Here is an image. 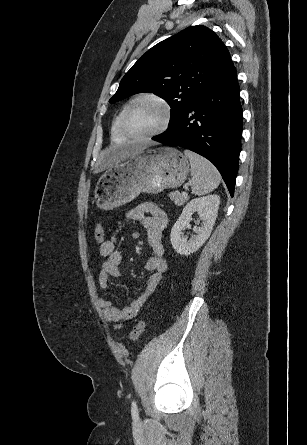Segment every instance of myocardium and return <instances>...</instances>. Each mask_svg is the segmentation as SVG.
I'll list each match as a JSON object with an SVG mask.
<instances>
[{
    "label": "myocardium",
    "instance_id": "myocardium-1",
    "mask_svg": "<svg viewBox=\"0 0 307 445\" xmlns=\"http://www.w3.org/2000/svg\"><path fill=\"white\" fill-rule=\"evenodd\" d=\"M146 100L156 102L163 108L164 119H163L161 125L158 128H156L155 130H152L149 132H144V133H137V132L133 131V129L130 126L129 111H130V108L134 104L141 102V101H146ZM173 116H174V112H173L172 106L166 99H164L163 97H161L157 94H153V93L141 94V95L137 96L136 98H134L133 100H131L127 104V106L124 110V114H123V120H122L123 128H124V131L128 137L136 138V139L137 138H152V137H156V136L163 134L170 127L172 120H173Z\"/></svg>",
    "mask_w": 307,
    "mask_h": 445
}]
</instances>
